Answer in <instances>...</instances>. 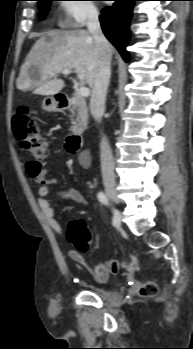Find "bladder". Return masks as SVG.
Returning a JSON list of instances; mask_svg holds the SVG:
<instances>
[{"label":"bladder","mask_w":193,"mask_h":349,"mask_svg":"<svg viewBox=\"0 0 193 349\" xmlns=\"http://www.w3.org/2000/svg\"><path fill=\"white\" fill-rule=\"evenodd\" d=\"M94 292L100 297L105 298L106 297V291L101 288H94Z\"/></svg>","instance_id":"bladder-1"}]
</instances>
